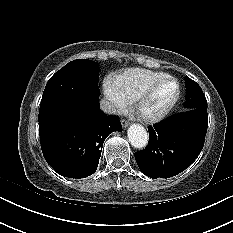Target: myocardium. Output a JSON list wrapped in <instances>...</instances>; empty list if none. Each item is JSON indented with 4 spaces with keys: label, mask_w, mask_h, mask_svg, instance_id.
<instances>
[{
    "label": "myocardium",
    "mask_w": 233,
    "mask_h": 233,
    "mask_svg": "<svg viewBox=\"0 0 233 233\" xmlns=\"http://www.w3.org/2000/svg\"><path fill=\"white\" fill-rule=\"evenodd\" d=\"M166 81H171L175 84L176 92H175L173 99L160 112L153 114V115L143 114L141 111V108L144 102L150 97V95L152 94V92L155 90V88L158 85ZM180 95H181V88H180V84L178 80L172 76L165 75L155 80L154 82H152L134 99L133 108L138 118L142 120L143 122L149 123V124L158 123L161 120H163L165 117H167L168 114L174 109V107L176 106V104L178 103L180 99Z\"/></svg>",
    "instance_id": "myocardium-1"
}]
</instances>
